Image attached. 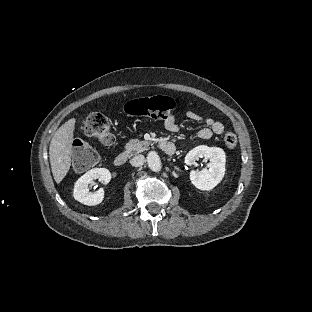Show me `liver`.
<instances>
[{"instance_id":"6515ba94","label":"liver","mask_w":312,"mask_h":312,"mask_svg":"<svg viewBox=\"0 0 312 312\" xmlns=\"http://www.w3.org/2000/svg\"><path fill=\"white\" fill-rule=\"evenodd\" d=\"M75 118L69 119L55 132L50 142L49 158L52 174L56 183H60L71 166L72 140Z\"/></svg>"}]
</instances>
